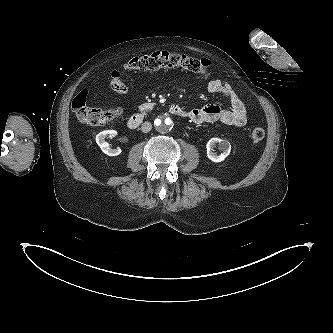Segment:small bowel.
Returning <instances> with one entry per match:
<instances>
[{
	"instance_id": "1",
	"label": "small bowel",
	"mask_w": 333,
	"mask_h": 333,
	"mask_svg": "<svg viewBox=\"0 0 333 333\" xmlns=\"http://www.w3.org/2000/svg\"><path fill=\"white\" fill-rule=\"evenodd\" d=\"M207 90L210 93L223 95L228 100L230 109H223L217 104H208L186 111L187 118L196 124L220 122L233 127H243L247 123L245 106L227 81L212 79L207 85Z\"/></svg>"
}]
</instances>
